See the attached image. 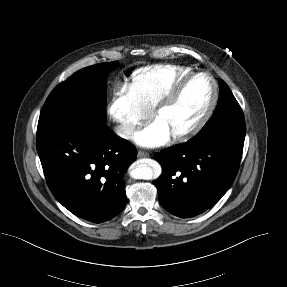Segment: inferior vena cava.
<instances>
[{
  "instance_id": "inferior-vena-cava-1",
  "label": "inferior vena cava",
  "mask_w": 287,
  "mask_h": 287,
  "mask_svg": "<svg viewBox=\"0 0 287 287\" xmlns=\"http://www.w3.org/2000/svg\"><path fill=\"white\" fill-rule=\"evenodd\" d=\"M135 127L132 124L118 125L115 127V132L118 136L130 139L134 135Z\"/></svg>"
}]
</instances>
